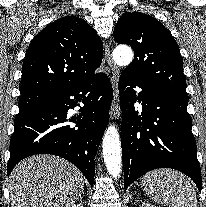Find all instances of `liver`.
Masks as SVG:
<instances>
[{"mask_svg":"<svg viewBox=\"0 0 206 207\" xmlns=\"http://www.w3.org/2000/svg\"><path fill=\"white\" fill-rule=\"evenodd\" d=\"M9 190L12 207H69L82 195L84 179L62 158L35 155L15 166Z\"/></svg>","mask_w":206,"mask_h":207,"instance_id":"6515ba94","label":"liver"}]
</instances>
